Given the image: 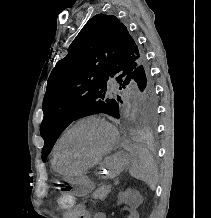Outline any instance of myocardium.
Here are the masks:
<instances>
[{
	"label": "myocardium",
	"instance_id": "f54148a6",
	"mask_svg": "<svg viewBox=\"0 0 211 218\" xmlns=\"http://www.w3.org/2000/svg\"><path fill=\"white\" fill-rule=\"evenodd\" d=\"M87 122H101L104 125L107 126V128L110 130L111 132V143L109 144V146L103 151L101 152L96 158H94L92 161L85 163V164H78L77 168L79 169H86L89 168L91 166H94L95 164H97L99 161H101L103 158H105L106 156H108L109 154L112 153V151L115 149L116 145H117V141H118V133L115 129V127L109 123L105 118L101 117V116H96V115H91V116H86L83 118H80L79 120H77L76 122H74L72 125H70L65 131L64 133L61 135V137L59 138L56 146H55V150H54V159L58 160L59 163V150L60 147L64 141V139L66 138V136L73 131L75 128H77L78 126L87 123Z\"/></svg>",
	"mask_w": 211,
	"mask_h": 218
}]
</instances>
